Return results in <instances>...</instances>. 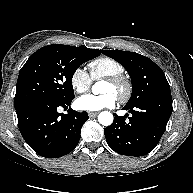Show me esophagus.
Wrapping results in <instances>:
<instances>
[{
	"mask_svg": "<svg viewBox=\"0 0 193 193\" xmlns=\"http://www.w3.org/2000/svg\"><path fill=\"white\" fill-rule=\"evenodd\" d=\"M88 115L90 118H94L98 115V112H89Z\"/></svg>",
	"mask_w": 193,
	"mask_h": 193,
	"instance_id": "esophagus-1",
	"label": "esophagus"
}]
</instances>
